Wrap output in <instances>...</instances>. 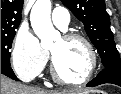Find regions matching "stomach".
Instances as JSON below:
<instances>
[{
    "label": "stomach",
    "mask_w": 121,
    "mask_h": 94,
    "mask_svg": "<svg viewBox=\"0 0 121 94\" xmlns=\"http://www.w3.org/2000/svg\"><path fill=\"white\" fill-rule=\"evenodd\" d=\"M80 94H106V93L100 90H93V91L83 92Z\"/></svg>",
    "instance_id": "obj_1"
}]
</instances>
